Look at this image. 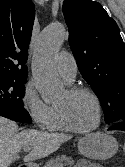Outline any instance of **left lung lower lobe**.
Instances as JSON below:
<instances>
[{
	"instance_id": "1",
	"label": "left lung lower lobe",
	"mask_w": 125,
	"mask_h": 167,
	"mask_svg": "<svg viewBox=\"0 0 125 167\" xmlns=\"http://www.w3.org/2000/svg\"><path fill=\"white\" fill-rule=\"evenodd\" d=\"M109 130H122L125 131V121H119L111 125Z\"/></svg>"
}]
</instances>
